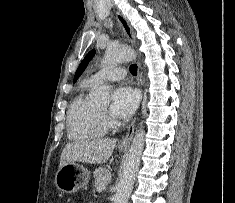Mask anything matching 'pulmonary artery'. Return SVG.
I'll use <instances>...</instances> for the list:
<instances>
[{
    "mask_svg": "<svg viewBox=\"0 0 235 203\" xmlns=\"http://www.w3.org/2000/svg\"><path fill=\"white\" fill-rule=\"evenodd\" d=\"M126 76V70L122 67L110 66L104 68L89 78V82L93 85L101 84L105 81H117Z\"/></svg>",
    "mask_w": 235,
    "mask_h": 203,
    "instance_id": "e3ab8cb5",
    "label": "pulmonary artery"
}]
</instances>
